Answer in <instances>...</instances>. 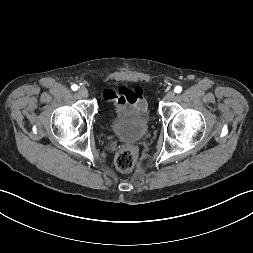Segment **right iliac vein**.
Returning <instances> with one entry per match:
<instances>
[{
	"mask_svg": "<svg viewBox=\"0 0 253 253\" xmlns=\"http://www.w3.org/2000/svg\"><path fill=\"white\" fill-rule=\"evenodd\" d=\"M78 94L80 97L86 98V97H88V90L85 87H81L78 90Z\"/></svg>",
	"mask_w": 253,
	"mask_h": 253,
	"instance_id": "obj_1",
	"label": "right iliac vein"
}]
</instances>
